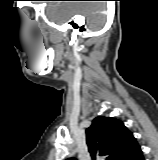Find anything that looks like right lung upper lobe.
I'll return each mask as SVG.
<instances>
[{"label": "right lung upper lobe", "instance_id": "obj_1", "mask_svg": "<svg viewBox=\"0 0 158 160\" xmlns=\"http://www.w3.org/2000/svg\"><path fill=\"white\" fill-rule=\"evenodd\" d=\"M86 141L93 160L99 155L106 160H126L139 147L122 121L112 117H96L86 129Z\"/></svg>", "mask_w": 158, "mask_h": 160}]
</instances>
